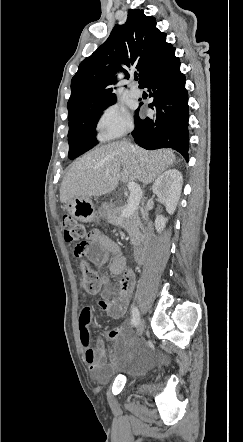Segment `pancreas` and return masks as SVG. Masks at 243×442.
I'll return each mask as SVG.
<instances>
[{
  "label": "pancreas",
  "mask_w": 243,
  "mask_h": 442,
  "mask_svg": "<svg viewBox=\"0 0 243 442\" xmlns=\"http://www.w3.org/2000/svg\"><path fill=\"white\" fill-rule=\"evenodd\" d=\"M124 209L125 207L108 208L103 214L108 222L118 224L121 228H124L131 238V243L137 245L141 238V230L143 229L142 221L136 210L131 215L123 217L122 212Z\"/></svg>",
  "instance_id": "1"
}]
</instances>
